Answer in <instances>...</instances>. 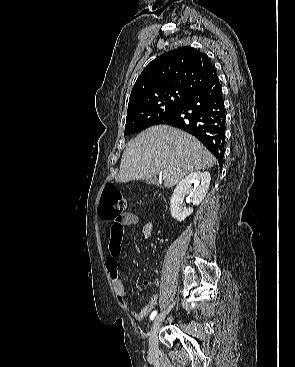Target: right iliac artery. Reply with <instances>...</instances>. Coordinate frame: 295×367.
Segmentation results:
<instances>
[{
	"label": "right iliac artery",
	"instance_id": "right-iliac-artery-1",
	"mask_svg": "<svg viewBox=\"0 0 295 367\" xmlns=\"http://www.w3.org/2000/svg\"><path fill=\"white\" fill-rule=\"evenodd\" d=\"M156 314H157V311H153V312L151 313V315H150V320H151V321H152V320H154V318H155Z\"/></svg>",
	"mask_w": 295,
	"mask_h": 367
}]
</instances>
